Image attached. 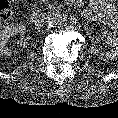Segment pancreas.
<instances>
[{"label": "pancreas", "instance_id": "pancreas-1", "mask_svg": "<svg viewBox=\"0 0 118 118\" xmlns=\"http://www.w3.org/2000/svg\"><path fill=\"white\" fill-rule=\"evenodd\" d=\"M67 1H69V0H67ZM49 8L54 9V7H53V6H49Z\"/></svg>", "mask_w": 118, "mask_h": 118}]
</instances>
